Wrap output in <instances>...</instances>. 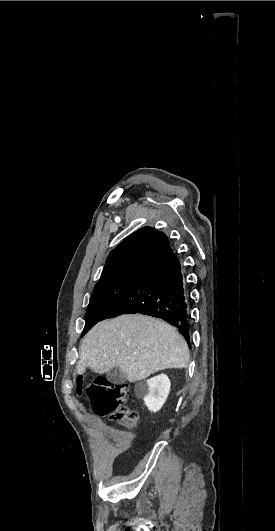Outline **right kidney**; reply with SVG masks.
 Returning a JSON list of instances; mask_svg holds the SVG:
<instances>
[{"instance_id":"ca27d5eb","label":"right kidney","mask_w":275,"mask_h":531,"mask_svg":"<svg viewBox=\"0 0 275 531\" xmlns=\"http://www.w3.org/2000/svg\"><path fill=\"white\" fill-rule=\"evenodd\" d=\"M170 379L167 375H157L135 385L136 397H142L148 411L157 413L163 407L170 393Z\"/></svg>"}]
</instances>
